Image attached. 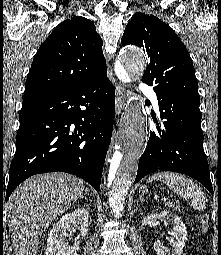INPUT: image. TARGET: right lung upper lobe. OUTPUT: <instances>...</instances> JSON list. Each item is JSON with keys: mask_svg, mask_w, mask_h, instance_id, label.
Wrapping results in <instances>:
<instances>
[{"mask_svg": "<svg viewBox=\"0 0 221 255\" xmlns=\"http://www.w3.org/2000/svg\"><path fill=\"white\" fill-rule=\"evenodd\" d=\"M102 45L92 21L81 16L63 21L37 51L23 99L81 85L106 73Z\"/></svg>", "mask_w": 221, "mask_h": 255, "instance_id": "1", "label": "right lung upper lobe"}]
</instances>
